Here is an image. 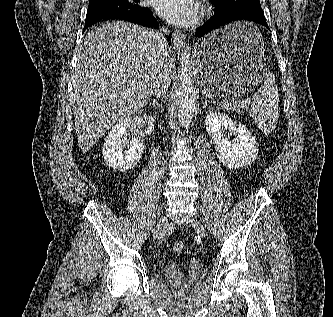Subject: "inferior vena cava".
Here are the masks:
<instances>
[{
	"mask_svg": "<svg viewBox=\"0 0 333 317\" xmlns=\"http://www.w3.org/2000/svg\"><path fill=\"white\" fill-rule=\"evenodd\" d=\"M169 33L167 29H162V31L155 32V38L159 45V52L161 54H166L168 46L165 34ZM165 58H161L157 67V75L153 84V92L156 96H163L170 85V80L166 73Z\"/></svg>",
	"mask_w": 333,
	"mask_h": 317,
	"instance_id": "obj_1",
	"label": "inferior vena cava"
}]
</instances>
